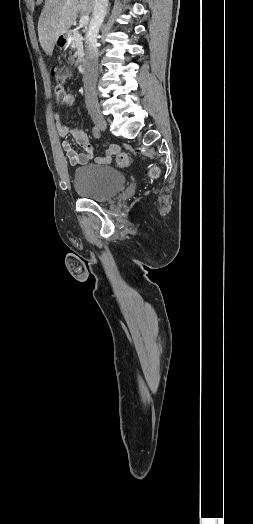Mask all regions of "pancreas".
Returning <instances> with one entry per match:
<instances>
[{
  "mask_svg": "<svg viewBox=\"0 0 253 524\" xmlns=\"http://www.w3.org/2000/svg\"><path fill=\"white\" fill-rule=\"evenodd\" d=\"M70 45L72 49L76 50L75 57L81 59L84 56L83 37L78 31H73Z\"/></svg>",
  "mask_w": 253,
  "mask_h": 524,
  "instance_id": "cf45deb5",
  "label": "pancreas"
}]
</instances>
